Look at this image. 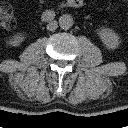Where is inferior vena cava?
<instances>
[{"label": "inferior vena cava", "instance_id": "1", "mask_svg": "<svg viewBox=\"0 0 128 128\" xmlns=\"http://www.w3.org/2000/svg\"><path fill=\"white\" fill-rule=\"evenodd\" d=\"M57 27H58L57 21H51V22H49V23L47 24V29H48L49 31L56 30Z\"/></svg>", "mask_w": 128, "mask_h": 128}]
</instances>
